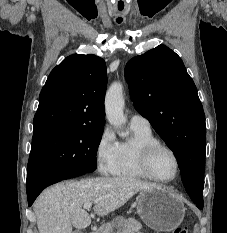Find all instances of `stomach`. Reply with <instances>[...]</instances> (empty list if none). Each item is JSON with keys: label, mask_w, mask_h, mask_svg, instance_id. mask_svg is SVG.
<instances>
[{"label": "stomach", "mask_w": 227, "mask_h": 233, "mask_svg": "<svg viewBox=\"0 0 227 233\" xmlns=\"http://www.w3.org/2000/svg\"><path fill=\"white\" fill-rule=\"evenodd\" d=\"M135 207L144 223L158 232L177 228L183 221L186 210L176 194L161 187L141 191L136 198ZM120 222L106 225L104 232L108 233Z\"/></svg>", "instance_id": "0dacf381"}]
</instances>
